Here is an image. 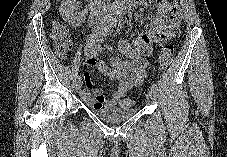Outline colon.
Instances as JSON below:
<instances>
[{"label":"colon","instance_id":"1","mask_svg":"<svg viewBox=\"0 0 227 157\" xmlns=\"http://www.w3.org/2000/svg\"><path fill=\"white\" fill-rule=\"evenodd\" d=\"M181 26V15L178 11V7L175 5L171 9L169 24L165 30L164 38L171 40L179 35ZM50 37L52 39L55 52L58 57L65 58L72 48V42L69 38L67 27L60 21L54 20L51 25ZM172 61V47L165 45L159 56V64L162 70L169 67ZM134 104V100L131 98H125L120 102L122 107H131Z\"/></svg>","mask_w":227,"mask_h":157}]
</instances>
